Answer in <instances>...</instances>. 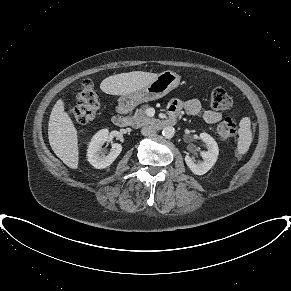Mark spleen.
<instances>
[{
	"instance_id": "3e777b00",
	"label": "spleen",
	"mask_w": 291,
	"mask_h": 291,
	"mask_svg": "<svg viewBox=\"0 0 291 291\" xmlns=\"http://www.w3.org/2000/svg\"><path fill=\"white\" fill-rule=\"evenodd\" d=\"M252 134L250 130V120L243 118L240 122L239 140L237 145V159H241L242 155L245 154L251 144Z\"/></svg>"
}]
</instances>
